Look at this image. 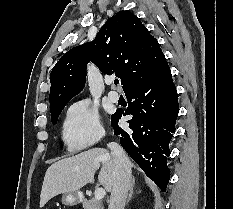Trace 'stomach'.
Masks as SVG:
<instances>
[{"label":"stomach","mask_w":233,"mask_h":209,"mask_svg":"<svg viewBox=\"0 0 233 209\" xmlns=\"http://www.w3.org/2000/svg\"><path fill=\"white\" fill-rule=\"evenodd\" d=\"M82 198V195L77 192L64 193L62 195V203L65 206H75L77 205Z\"/></svg>","instance_id":"1"}]
</instances>
